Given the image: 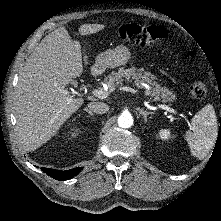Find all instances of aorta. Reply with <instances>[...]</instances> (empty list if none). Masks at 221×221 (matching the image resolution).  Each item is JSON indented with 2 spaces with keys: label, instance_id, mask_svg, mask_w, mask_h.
I'll use <instances>...</instances> for the list:
<instances>
[{
  "label": "aorta",
  "instance_id": "1",
  "mask_svg": "<svg viewBox=\"0 0 221 221\" xmlns=\"http://www.w3.org/2000/svg\"><path fill=\"white\" fill-rule=\"evenodd\" d=\"M133 124V117L129 112H124L118 117V125L121 128H129Z\"/></svg>",
  "mask_w": 221,
  "mask_h": 221
}]
</instances>
